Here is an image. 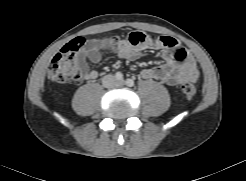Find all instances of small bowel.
<instances>
[{
	"label": "small bowel",
	"instance_id": "obj_1",
	"mask_svg": "<svg viewBox=\"0 0 246 181\" xmlns=\"http://www.w3.org/2000/svg\"><path fill=\"white\" fill-rule=\"evenodd\" d=\"M154 46L161 51L164 62L155 67L141 71L145 79L159 80L169 86H178L186 80H196L199 77L197 63L192 54L174 37L162 36ZM107 49L123 59H135L141 54V47L130 43L128 39L110 45L107 39L89 40L80 52V58L92 63L101 61V51ZM99 76L96 70H85V77L94 80Z\"/></svg>",
	"mask_w": 246,
	"mask_h": 181
}]
</instances>
